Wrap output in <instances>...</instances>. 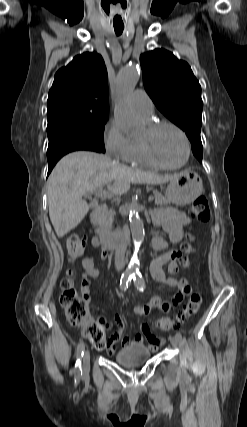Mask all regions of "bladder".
I'll use <instances>...</instances> for the list:
<instances>
[{
  "instance_id": "31cf9c89",
  "label": "bladder",
  "mask_w": 247,
  "mask_h": 427,
  "mask_svg": "<svg viewBox=\"0 0 247 427\" xmlns=\"http://www.w3.org/2000/svg\"><path fill=\"white\" fill-rule=\"evenodd\" d=\"M151 357V351L144 345H129L122 348L116 355L115 361L124 367H134L146 362Z\"/></svg>"
}]
</instances>
